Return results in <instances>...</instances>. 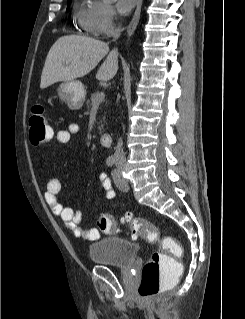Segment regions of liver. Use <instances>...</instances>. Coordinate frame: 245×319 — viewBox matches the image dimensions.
Listing matches in <instances>:
<instances>
[{"label": "liver", "mask_w": 245, "mask_h": 319, "mask_svg": "<svg viewBox=\"0 0 245 319\" xmlns=\"http://www.w3.org/2000/svg\"><path fill=\"white\" fill-rule=\"evenodd\" d=\"M96 78L101 81L112 79L118 71V54L109 52L108 44L82 35L60 37L45 60L40 88L45 89L60 81H71L92 71L105 57Z\"/></svg>", "instance_id": "liver-1"}]
</instances>
